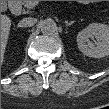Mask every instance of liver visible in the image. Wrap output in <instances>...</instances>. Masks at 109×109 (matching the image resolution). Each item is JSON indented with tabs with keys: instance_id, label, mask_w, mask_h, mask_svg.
Here are the masks:
<instances>
[{
	"instance_id": "liver-1",
	"label": "liver",
	"mask_w": 109,
	"mask_h": 109,
	"mask_svg": "<svg viewBox=\"0 0 109 109\" xmlns=\"http://www.w3.org/2000/svg\"><path fill=\"white\" fill-rule=\"evenodd\" d=\"M11 26V19L6 15L1 16V53L4 55L9 31Z\"/></svg>"
}]
</instances>
